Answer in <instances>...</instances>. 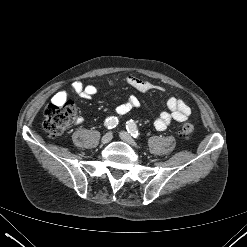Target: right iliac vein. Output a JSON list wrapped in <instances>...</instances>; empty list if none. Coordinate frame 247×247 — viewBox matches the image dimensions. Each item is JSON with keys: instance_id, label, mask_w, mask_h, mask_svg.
Returning a JSON list of instances; mask_svg holds the SVG:
<instances>
[{"instance_id": "right-iliac-vein-1", "label": "right iliac vein", "mask_w": 247, "mask_h": 247, "mask_svg": "<svg viewBox=\"0 0 247 247\" xmlns=\"http://www.w3.org/2000/svg\"><path fill=\"white\" fill-rule=\"evenodd\" d=\"M112 138H113L112 133H111V132H108V133H106V134L102 137L101 142H102L103 144H107V143H109V142L112 140Z\"/></svg>"}]
</instances>
